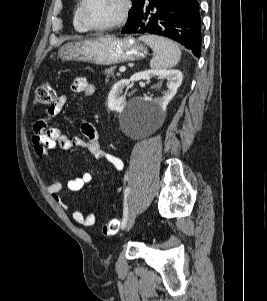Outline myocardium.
Instances as JSON below:
<instances>
[{
	"instance_id": "f54148a6",
	"label": "myocardium",
	"mask_w": 267,
	"mask_h": 301,
	"mask_svg": "<svg viewBox=\"0 0 267 301\" xmlns=\"http://www.w3.org/2000/svg\"><path fill=\"white\" fill-rule=\"evenodd\" d=\"M89 0H81L80 16L84 26L92 31H111L123 26L129 16L131 9V0H121L122 8L119 17L112 23L105 25H93L87 18L86 8Z\"/></svg>"
}]
</instances>
